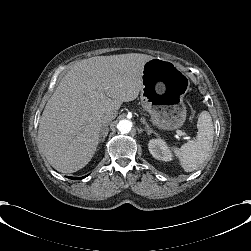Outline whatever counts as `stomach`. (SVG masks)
<instances>
[{
  "instance_id": "1",
  "label": "stomach",
  "mask_w": 251,
  "mask_h": 251,
  "mask_svg": "<svg viewBox=\"0 0 251 251\" xmlns=\"http://www.w3.org/2000/svg\"><path fill=\"white\" fill-rule=\"evenodd\" d=\"M142 82L141 104L152 123L165 130L181 127L186 119L183 97L189 90L188 77L173 62L152 58L143 66Z\"/></svg>"
}]
</instances>
